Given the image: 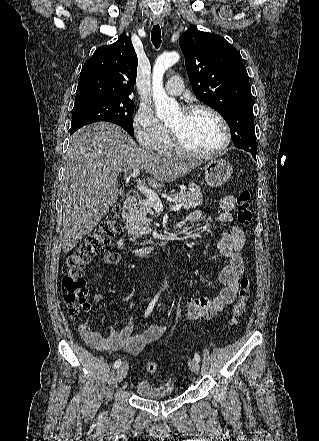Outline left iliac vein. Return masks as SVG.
<instances>
[{
  "mask_svg": "<svg viewBox=\"0 0 319 441\" xmlns=\"http://www.w3.org/2000/svg\"><path fill=\"white\" fill-rule=\"evenodd\" d=\"M188 365H189V368L191 369L192 372H194L195 374L199 373L200 366H199V363L195 359L190 358L188 360Z\"/></svg>",
  "mask_w": 319,
  "mask_h": 441,
  "instance_id": "1",
  "label": "left iliac vein"
}]
</instances>
